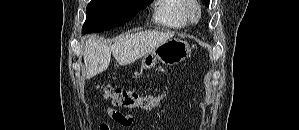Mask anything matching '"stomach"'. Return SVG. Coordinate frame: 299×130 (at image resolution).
<instances>
[{
  "label": "stomach",
  "instance_id": "1",
  "mask_svg": "<svg viewBox=\"0 0 299 130\" xmlns=\"http://www.w3.org/2000/svg\"><path fill=\"white\" fill-rule=\"evenodd\" d=\"M190 45L179 38H170L145 54L141 59V68L150 70L158 62L165 65H175L184 61L190 54Z\"/></svg>",
  "mask_w": 299,
  "mask_h": 130
}]
</instances>
